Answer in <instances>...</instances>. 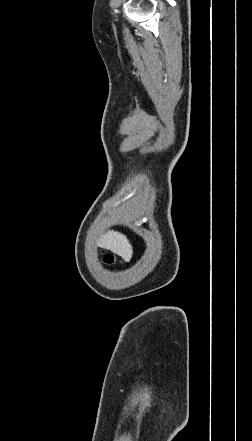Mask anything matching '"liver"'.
Listing matches in <instances>:
<instances>
[{
    "label": "liver",
    "mask_w": 252,
    "mask_h": 441,
    "mask_svg": "<svg viewBox=\"0 0 252 441\" xmlns=\"http://www.w3.org/2000/svg\"><path fill=\"white\" fill-rule=\"evenodd\" d=\"M97 243L100 247L111 250L126 261H130L132 258V245L127 237L118 231L110 230L102 234L97 240Z\"/></svg>",
    "instance_id": "obj_1"
}]
</instances>
